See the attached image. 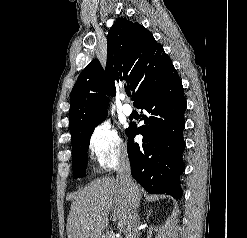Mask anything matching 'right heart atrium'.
Instances as JSON below:
<instances>
[{
	"mask_svg": "<svg viewBox=\"0 0 247 238\" xmlns=\"http://www.w3.org/2000/svg\"><path fill=\"white\" fill-rule=\"evenodd\" d=\"M88 149L102 171L115 169L127 157V149L117 129L107 122L98 124L91 132Z\"/></svg>",
	"mask_w": 247,
	"mask_h": 238,
	"instance_id": "obj_1",
	"label": "right heart atrium"
}]
</instances>
